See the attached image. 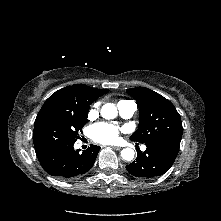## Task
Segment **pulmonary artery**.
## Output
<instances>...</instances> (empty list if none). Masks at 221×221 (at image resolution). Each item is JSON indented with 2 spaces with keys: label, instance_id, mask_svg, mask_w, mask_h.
Here are the masks:
<instances>
[{
  "label": "pulmonary artery",
  "instance_id": "e3ab8cb5",
  "mask_svg": "<svg viewBox=\"0 0 221 221\" xmlns=\"http://www.w3.org/2000/svg\"><path fill=\"white\" fill-rule=\"evenodd\" d=\"M117 107H118L120 115L125 119L131 118L137 109L135 102L130 101V100L120 101ZM142 149L145 150L146 147L142 146Z\"/></svg>",
  "mask_w": 221,
  "mask_h": 221
}]
</instances>
